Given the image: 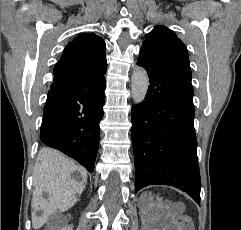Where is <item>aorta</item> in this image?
<instances>
[{
  "instance_id": "1",
  "label": "aorta",
  "mask_w": 241,
  "mask_h": 230,
  "mask_svg": "<svg viewBox=\"0 0 241 230\" xmlns=\"http://www.w3.org/2000/svg\"><path fill=\"white\" fill-rule=\"evenodd\" d=\"M149 87V77L142 67H136L131 76V94L135 105L144 101Z\"/></svg>"
}]
</instances>
